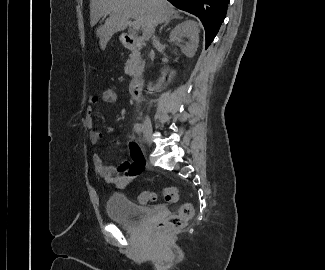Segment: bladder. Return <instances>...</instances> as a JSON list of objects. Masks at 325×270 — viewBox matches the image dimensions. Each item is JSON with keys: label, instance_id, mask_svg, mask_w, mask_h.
I'll return each mask as SVG.
<instances>
[{"label": "bladder", "instance_id": "bladder-1", "mask_svg": "<svg viewBox=\"0 0 325 270\" xmlns=\"http://www.w3.org/2000/svg\"><path fill=\"white\" fill-rule=\"evenodd\" d=\"M106 210L111 221L129 228L138 227L151 215L150 209L136 204L121 193L112 194L108 198Z\"/></svg>", "mask_w": 325, "mask_h": 270}]
</instances>
